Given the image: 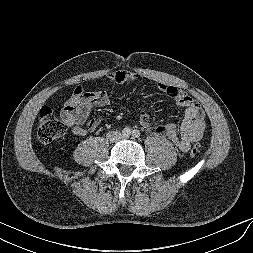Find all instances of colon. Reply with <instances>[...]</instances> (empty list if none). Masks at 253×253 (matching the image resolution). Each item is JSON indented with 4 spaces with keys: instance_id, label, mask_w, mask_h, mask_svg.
Listing matches in <instances>:
<instances>
[{
    "instance_id": "colon-1",
    "label": "colon",
    "mask_w": 253,
    "mask_h": 253,
    "mask_svg": "<svg viewBox=\"0 0 253 253\" xmlns=\"http://www.w3.org/2000/svg\"><path fill=\"white\" fill-rule=\"evenodd\" d=\"M68 131V124L57 117L49 107H43L39 113L37 139L42 144H49L62 138ZM200 152V146L195 144L190 149V155L196 156Z\"/></svg>"
}]
</instances>
